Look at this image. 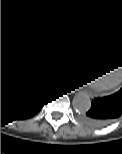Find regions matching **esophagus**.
Instances as JSON below:
<instances>
[{"mask_svg":"<svg viewBox=\"0 0 122 154\" xmlns=\"http://www.w3.org/2000/svg\"><path fill=\"white\" fill-rule=\"evenodd\" d=\"M68 91H69L70 94H74V93H76L77 91H79V89L76 88V87H71V88L68 89Z\"/></svg>","mask_w":122,"mask_h":154,"instance_id":"obj_1","label":"esophagus"}]
</instances>
